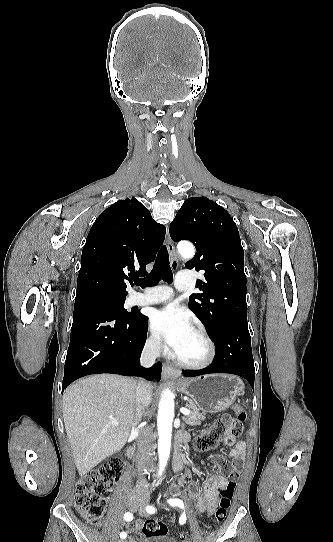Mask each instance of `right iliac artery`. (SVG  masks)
<instances>
[{"instance_id": "1", "label": "right iliac artery", "mask_w": 333, "mask_h": 542, "mask_svg": "<svg viewBox=\"0 0 333 542\" xmlns=\"http://www.w3.org/2000/svg\"><path fill=\"white\" fill-rule=\"evenodd\" d=\"M124 519H125L126 521H131V520L133 519V515H132L131 513L127 512V513L124 515ZM126 536H127V534H126L125 532H122V533L120 534V537H121V538H126Z\"/></svg>"}]
</instances>
